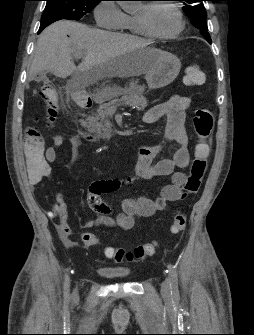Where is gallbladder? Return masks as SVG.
<instances>
[{
  "instance_id": "gallbladder-1",
  "label": "gallbladder",
  "mask_w": 254,
  "mask_h": 335,
  "mask_svg": "<svg viewBox=\"0 0 254 335\" xmlns=\"http://www.w3.org/2000/svg\"><path fill=\"white\" fill-rule=\"evenodd\" d=\"M43 79H46V72H40V75L36 80L41 81Z\"/></svg>"
}]
</instances>
